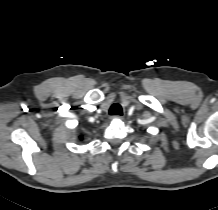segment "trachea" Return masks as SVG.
<instances>
[{
  "label": "trachea",
  "mask_w": 218,
  "mask_h": 210,
  "mask_svg": "<svg viewBox=\"0 0 218 210\" xmlns=\"http://www.w3.org/2000/svg\"><path fill=\"white\" fill-rule=\"evenodd\" d=\"M110 115H122V107L118 103H114L110 110H109Z\"/></svg>",
  "instance_id": "obj_1"
}]
</instances>
